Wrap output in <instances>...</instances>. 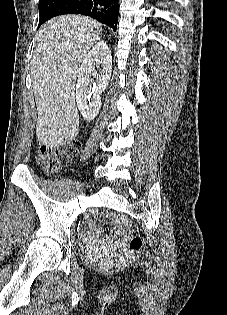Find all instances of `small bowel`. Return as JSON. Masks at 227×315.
<instances>
[{"label":"small bowel","instance_id":"obj_1","mask_svg":"<svg viewBox=\"0 0 227 315\" xmlns=\"http://www.w3.org/2000/svg\"><path fill=\"white\" fill-rule=\"evenodd\" d=\"M96 234H97L98 236H103V235H104V230H103V228H98V229L96 230ZM86 236H87V237H91V236H92V231H91V230H88V231L86 232ZM119 246H120V243H119V244H115V245H111L110 247H111V249H112L113 251H116Z\"/></svg>","mask_w":227,"mask_h":315}]
</instances>
